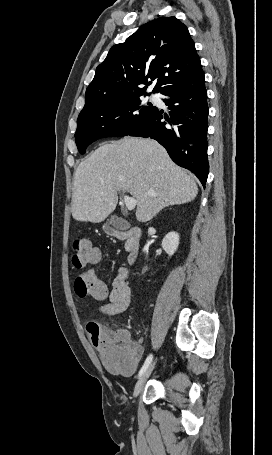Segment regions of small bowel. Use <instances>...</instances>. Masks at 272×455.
Returning a JSON list of instances; mask_svg holds the SVG:
<instances>
[{
    "mask_svg": "<svg viewBox=\"0 0 272 455\" xmlns=\"http://www.w3.org/2000/svg\"><path fill=\"white\" fill-rule=\"evenodd\" d=\"M128 272L125 268L118 270L117 276L112 282L111 289L108 295V303L101 306V311L110 316L119 315L125 312L131 301V290L127 283ZM115 336L130 342V333L127 330L119 329L116 331ZM135 348V357L132 365L125 371L124 375H131L135 372L142 356V347L139 343L133 344Z\"/></svg>",
    "mask_w": 272,
    "mask_h": 455,
    "instance_id": "obj_1",
    "label": "small bowel"
}]
</instances>
